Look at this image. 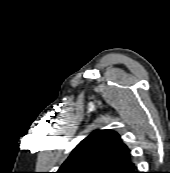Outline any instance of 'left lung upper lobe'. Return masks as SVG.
Segmentation results:
<instances>
[{
  "mask_svg": "<svg viewBox=\"0 0 170 173\" xmlns=\"http://www.w3.org/2000/svg\"><path fill=\"white\" fill-rule=\"evenodd\" d=\"M130 150L112 130H95L72 151L56 173H120L130 165Z\"/></svg>",
  "mask_w": 170,
  "mask_h": 173,
  "instance_id": "5c2ea615",
  "label": "left lung upper lobe"
}]
</instances>
